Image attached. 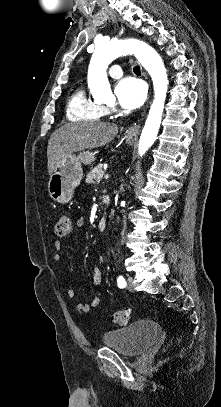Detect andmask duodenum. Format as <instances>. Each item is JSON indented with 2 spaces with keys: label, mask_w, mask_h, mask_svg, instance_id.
<instances>
[{
  "label": "duodenum",
  "mask_w": 221,
  "mask_h": 407,
  "mask_svg": "<svg viewBox=\"0 0 221 407\" xmlns=\"http://www.w3.org/2000/svg\"><path fill=\"white\" fill-rule=\"evenodd\" d=\"M110 203V199L108 196H104L103 197V204H104V209L106 210L108 205ZM106 224H107V218H106V213H104V215L98 220L97 223V229L100 232H103L106 228Z\"/></svg>",
  "instance_id": "410a0bca"
}]
</instances>
